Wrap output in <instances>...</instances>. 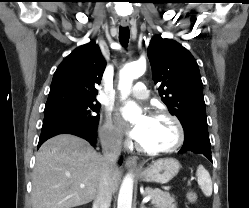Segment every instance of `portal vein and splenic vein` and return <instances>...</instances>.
<instances>
[{
    "label": "portal vein and splenic vein",
    "instance_id": "1",
    "mask_svg": "<svg viewBox=\"0 0 249 208\" xmlns=\"http://www.w3.org/2000/svg\"><path fill=\"white\" fill-rule=\"evenodd\" d=\"M81 188H84L85 185L84 184H81L80 185ZM151 197L150 196H146L145 198H143V203H147L148 201H150Z\"/></svg>",
    "mask_w": 249,
    "mask_h": 208
}]
</instances>
